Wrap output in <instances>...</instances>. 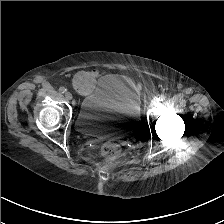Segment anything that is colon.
<instances>
[{"label": "colon", "instance_id": "1", "mask_svg": "<svg viewBox=\"0 0 224 224\" xmlns=\"http://www.w3.org/2000/svg\"><path fill=\"white\" fill-rule=\"evenodd\" d=\"M95 75L90 72L80 73L74 80L75 89L82 93L87 94L94 88ZM102 153L110 158H114L119 155L120 147L115 143H105L102 147Z\"/></svg>", "mask_w": 224, "mask_h": 224}]
</instances>
